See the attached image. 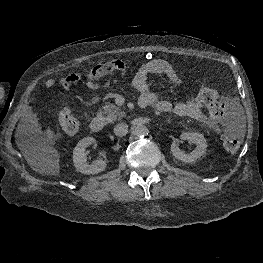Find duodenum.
I'll return each instance as SVG.
<instances>
[{
	"instance_id": "410a0bca",
	"label": "duodenum",
	"mask_w": 263,
	"mask_h": 263,
	"mask_svg": "<svg viewBox=\"0 0 263 263\" xmlns=\"http://www.w3.org/2000/svg\"><path fill=\"white\" fill-rule=\"evenodd\" d=\"M141 107H145L144 105H140ZM104 128V120L97 116L94 117L91 122H90V129L95 132L98 133L100 131H102V129Z\"/></svg>"
}]
</instances>
